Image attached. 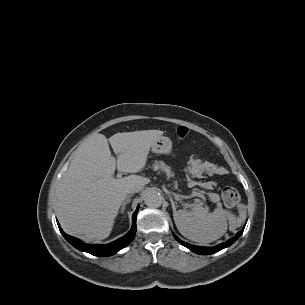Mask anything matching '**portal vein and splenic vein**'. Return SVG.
Listing matches in <instances>:
<instances>
[{"instance_id":"18ae733b","label":"portal vein and splenic vein","mask_w":305,"mask_h":305,"mask_svg":"<svg viewBox=\"0 0 305 305\" xmlns=\"http://www.w3.org/2000/svg\"><path fill=\"white\" fill-rule=\"evenodd\" d=\"M122 177V175L121 174H117V178H121ZM195 196H200V197H203V195L202 194H200V193H195Z\"/></svg>"}]
</instances>
